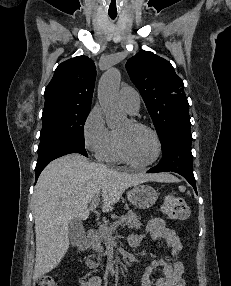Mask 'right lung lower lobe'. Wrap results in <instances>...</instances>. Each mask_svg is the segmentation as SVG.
Instances as JSON below:
<instances>
[{
  "label": "right lung lower lobe",
  "mask_w": 231,
  "mask_h": 286,
  "mask_svg": "<svg viewBox=\"0 0 231 286\" xmlns=\"http://www.w3.org/2000/svg\"><path fill=\"white\" fill-rule=\"evenodd\" d=\"M70 153H80L87 156L83 144L70 141L56 142L38 151V160L35 168L36 180L49 162Z\"/></svg>",
  "instance_id": "obj_1"
}]
</instances>
